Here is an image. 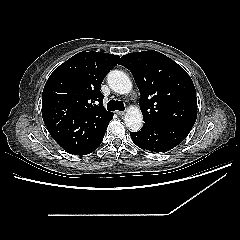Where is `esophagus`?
Masks as SVG:
<instances>
[{
  "instance_id": "esophagus-1",
  "label": "esophagus",
  "mask_w": 240,
  "mask_h": 240,
  "mask_svg": "<svg viewBox=\"0 0 240 240\" xmlns=\"http://www.w3.org/2000/svg\"><path fill=\"white\" fill-rule=\"evenodd\" d=\"M116 113L119 115V116H122V115H124V111H116Z\"/></svg>"
}]
</instances>
